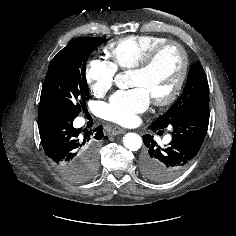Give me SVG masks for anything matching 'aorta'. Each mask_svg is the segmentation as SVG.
Instances as JSON below:
<instances>
[{
  "instance_id": "762f6f07",
  "label": "aorta",
  "mask_w": 236,
  "mask_h": 236,
  "mask_svg": "<svg viewBox=\"0 0 236 236\" xmlns=\"http://www.w3.org/2000/svg\"><path fill=\"white\" fill-rule=\"evenodd\" d=\"M115 83L117 87L123 89L127 86V79L125 74H117L115 76ZM123 145L130 151H137L142 146V138L136 133H127L123 137Z\"/></svg>"
}]
</instances>
